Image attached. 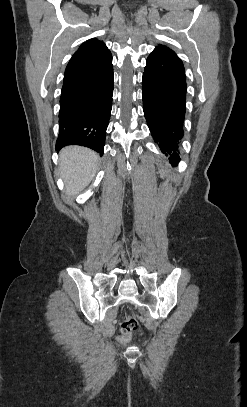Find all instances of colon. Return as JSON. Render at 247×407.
<instances>
[{
	"label": "colon",
	"mask_w": 247,
	"mask_h": 407,
	"mask_svg": "<svg viewBox=\"0 0 247 407\" xmlns=\"http://www.w3.org/2000/svg\"><path fill=\"white\" fill-rule=\"evenodd\" d=\"M138 329V323L133 318H127L123 321L121 325V336L119 341L121 343H126L133 332Z\"/></svg>",
	"instance_id": "obj_1"
}]
</instances>
